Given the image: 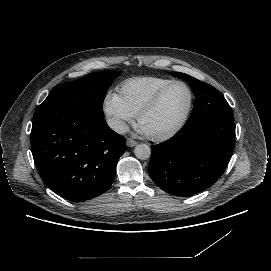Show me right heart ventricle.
Returning a JSON list of instances; mask_svg holds the SVG:
<instances>
[{
    "instance_id": "obj_1",
    "label": "right heart ventricle",
    "mask_w": 271,
    "mask_h": 271,
    "mask_svg": "<svg viewBox=\"0 0 271 271\" xmlns=\"http://www.w3.org/2000/svg\"><path fill=\"white\" fill-rule=\"evenodd\" d=\"M173 80L165 76L129 78L119 85V96L132 116H138L153 97Z\"/></svg>"
}]
</instances>
